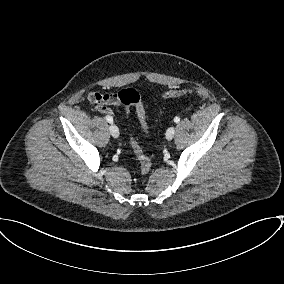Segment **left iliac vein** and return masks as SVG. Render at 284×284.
I'll list each match as a JSON object with an SVG mask.
<instances>
[{
	"mask_svg": "<svg viewBox=\"0 0 284 284\" xmlns=\"http://www.w3.org/2000/svg\"><path fill=\"white\" fill-rule=\"evenodd\" d=\"M175 135V128L174 127H170L168 128V130L166 131V139L167 140H171Z\"/></svg>",
	"mask_w": 284,
	"mask_h": 284,
	"instance_id": "left-iliac-vein-1",
	"label": "left iliac vein"
}]
</instances>
